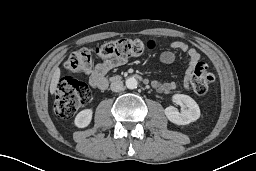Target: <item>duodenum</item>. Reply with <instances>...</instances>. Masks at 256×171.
I'll return each mask as SVG.
<instances>
[{
    "label": "duodenum",
    "mask_w": 256,
    "mask_h": 171,
    "mask_svg": "<svg viewBox=\"0 0 256 171\" xmlns=\"http://www.w3.org/2000/svg\"><path fill=\"white\" fill-rule=\"evenodd\" d=\"M119 79V77L118 76H115V77H113L112 79H111V81L112 82H115V81H117Z\"/></svg>",
    "instance_id": "obj_1"
}]
</instances>
